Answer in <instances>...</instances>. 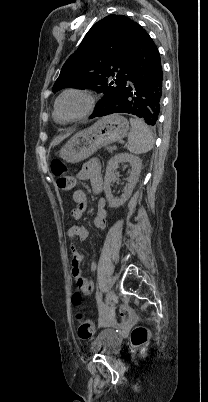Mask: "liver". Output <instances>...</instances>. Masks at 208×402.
Here are the masks:
<instances>
[{
	"label": "liver",
	"mask_w": 208,
	"mask_h": 402,
	"mask_svg": "<svg viewBox=\"0 0 208 402\" xmlns=\"http://www.w3.org/2000/svg\"><path fill=\"white\" fill-rule=\"evenodd\" d=\"M71 134V132H70ZM70 134H65V136H57V138H55V140H53V142H51V146H57V144H60V142H62V140H65V138H68V136H70Z\"/></svg>",
	"instance_id": "obj_1"
}]
</instances>
